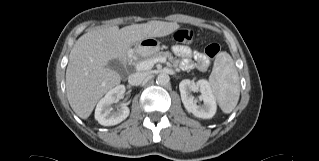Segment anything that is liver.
I'll return each instance as SVG.
<instances>
[{"mask_svg":"<svg viewBox=\"0 0 319 161\" xmlns=\"http://www.w3.org/2000/svg\"><path fill=\"white\" fill-rule=\"evenodd\" d=\"M179 27L176 22L150 21L121 29L99 27L82 35L70 52L66 69V93L73 111L87 119L99 99L120 84V75L107 67L109 61L124 58L143 39L167 36Z\"/></svg>","mask_w":319,"mask_h":161,"instance_id":"obj_1","label":"liver"}]
</instances>
